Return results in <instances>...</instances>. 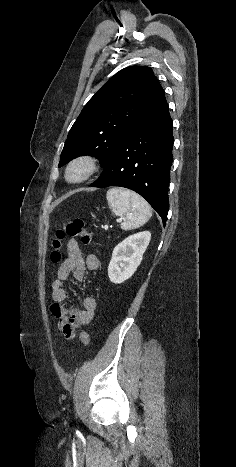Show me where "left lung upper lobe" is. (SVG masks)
I'll return each mask as SVG.
<instances>
[{
	"instance_id": "left-lung-upper-lobe-1",
	"label": "left lung upper lobe",
	"mask_w": 236,
	"mask_h": 467,
	"mask_svg": "<svg viewBox=\"0 0 236 467\" xmlns=\"http://www.w3.org/2000/svg\"><path fill=\"white\" fill-rule=\"evenodd\" d=\"M164 98L151 68L122 69L81 111L68 134L59 167L83 155L97 157L104 167L121 138Z\"/></svg>"
}]
</instances>
